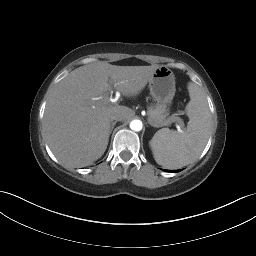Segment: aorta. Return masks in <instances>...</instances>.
<instances>
[{
  "label": "aorta",
  "instance_id": "1",
  "mask_svg": "<svg viewBox=\"0 0 256 256\" xmlns=\"http://www.w3.org/2000/svg\"><path fill=\"white\" fill-rule=\"evenodd\" d=\"M130 128L133 131H141L142 130V122L140 120H133L130 123Z\"/></svg>",
  "mask_w": 256,
  "mask_h": 256
}]
</instances>
